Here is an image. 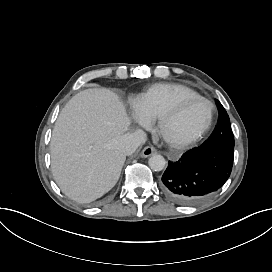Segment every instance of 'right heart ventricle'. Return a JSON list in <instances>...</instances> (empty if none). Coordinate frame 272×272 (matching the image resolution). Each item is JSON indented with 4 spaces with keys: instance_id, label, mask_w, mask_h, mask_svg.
Wrapping results in <instances>:
<instances>
[{
    "instance_id": "e07e8e85",
    "label": "right heart ventricle",
    "mask_w": 272,
    "mask_h": 272,
    "mask_svg": "<svg viewBox=\"0 0 272 272\" xmlns=\"http://www.w3.org/2000/svg\"><path fill=\"white\" fill-rule=\"evenodd\" d=\"M193 95L197 93L182 85L159 84L141 98L137 104V112L151 118L169 115L181 99Z\"/></svg>"
}]
</instances>
